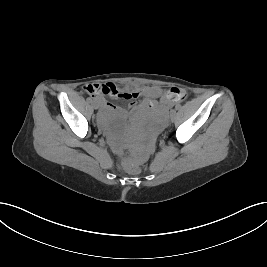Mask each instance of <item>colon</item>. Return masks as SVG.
<instances>
[{"label":"colon","instance_id":"1","mask_svg":"<svg viewBox=\"0 0 267 267\" xmlns=\"http://www.w3.org/2000/svg\"><path fill=\"white\" fill-rule=\"evenodd\" d=\"M91 85V94L108 97L112 100H119L123 97L130 98V95L121 94L114 86L106 84H90ZM172 98L179 102L186 98L187 93L183 89L174 88L170 91ZM122 167L130 172L137 173L139 171V165L137 163H132L128 160L122 161Z\"/></svg>","mask_w":267,"mask_h":267}]
</instances>
